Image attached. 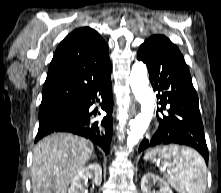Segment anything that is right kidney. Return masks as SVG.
Returning a JSON list of instances; mask_svg holds the SVG:
<instances>
[{"instance_id": "ca27d5eb", "label": "right kidney", "mask_w": 221, "mask_h": 193, "mask_svg": "<svg viewBox=\"0 0 221 193\" xmlns=\"http://www.w3.org/2000/svg\"><path fill=\"white\" fill-rule=\"evenodd\" d=\"M93 178L95 185L102 182V168L99 164H90L82 168L73 178L68 193H84V186L88 182V178Z\"/></svg>"}]
</instances>
